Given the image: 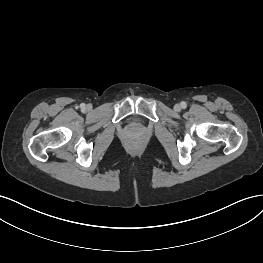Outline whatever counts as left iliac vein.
Listing matches in <instances>:
<instances>
[{
  "label": "left iliac vein",
  "mask_w": 263,
  "mask_h": 263,
  "mask_svg": "<svg viewBox=\"0 0 263 263\" xmlns=\"http://www.w3.org/2000/svg\"><path fill=\"white\" fill-rule=\"evenodd\" d=\"M174 110H175V111H180V110H181V106H180L179 104H176V105L174 106Z\"/></svg>",
  "instance_id": "1"
}]
</instances>
